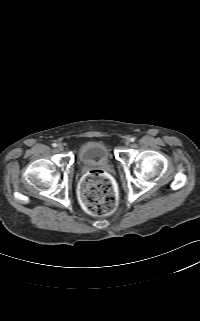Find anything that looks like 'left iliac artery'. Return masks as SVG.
Segmentation results:
<instances>
[{"label": "left iliac artery", "mask_w": 200, "mask_h": 321, "mask_svg": "<svg viewBox=\"0 0 200 321\" xmlns=\"http://www.w3.org/2000/svg\"><path fill=\"white\" fill-rule=\"evenodd\" d=\"M130 141H131V142H134V141H135V138H134V137L130 138Z\"/></svg>", "instance_id": "1"}]
</instances>
